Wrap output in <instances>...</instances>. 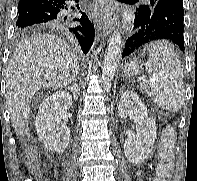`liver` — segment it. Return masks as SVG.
Masks as SVG:
<instances>
[{
	"instance_id": "6515ba94",
	"label": "liver",
	"mask_w": 197,
	"mask_h": 181,
	"mask_svg": "<svg viewBox=\"0 0 197 181\" xmlns=\"http://www.w3.org/2000/svg\"><path fill=\"white\" fill-rule=\"evenodd\" d=\"M79 70L76 55L64 40L32 35L18 43L6 71V100L16 134L29 130L30 103L42 88L62 89Z\"/></svg>"
}]
</instances>
